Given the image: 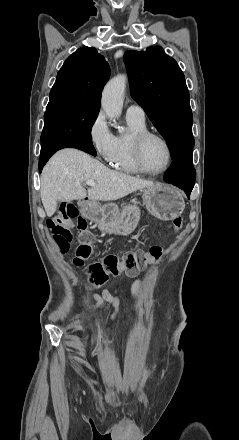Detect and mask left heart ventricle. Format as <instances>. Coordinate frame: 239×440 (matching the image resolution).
Listing matches in <instances>:
<instances>
[{"instance_id": "b2bd125f", "label": "left heart ventricle", "mask_w": 239, "mask_h": 440, "mask_svg": "<svg viewBox=\"0 0 239 440\" xmlns=\"http://www.w3.org/2000/svg\"><path fill=\"white\" fill-rule=\"evenodd\" d=\"M143 161L152 172L164 169L168 161V153L164 143L157 138H149L143 147Z\"/></svg>"}]
</instances>
